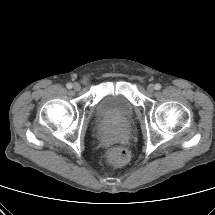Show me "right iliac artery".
<instances>
[{
  "label": "right iliac artery",
  "instance_id": "1",
  "mask_svg": "<svg viewBox=\"0 0 215 215\" xmlns=\"http://www.w3.org/2000/svg\"><path fill=\"white\" fill-rule=\"evenodd\" d=\"M66 87H67L68 89H71V88L73 87V85H72L71 83H67V84H66Z\"/></svg>",
  "mask_w": 215,
  "mask_h": 215
}]
</instances>
